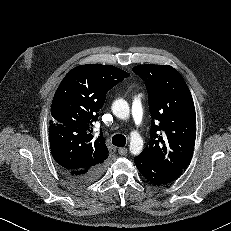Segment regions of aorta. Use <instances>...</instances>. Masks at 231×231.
Here are the masks:
<instances>
[{
  "mask_svg": "<svg viewBox=\"0 0 231 231\" xmlns=\"http://www.w3.org/2000/svg\"><path fill=\"white\" fill-rule=\"evenodd\" d=\"M113 114L120 119H127L130 114L129 105L124 99H117L112 104ZM130 153L133 155H139L143 150V139L136 131H132L130 134Z\"/></svg>",
  "mask_w": 231,
  "mask_h": 231,
  "instance_id": "aorta-1",
  "label": "aorta"
}]
</instances>
